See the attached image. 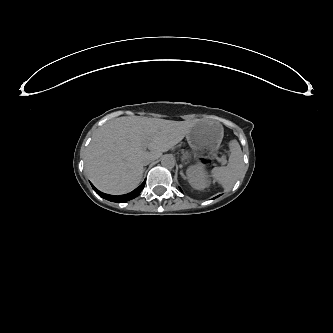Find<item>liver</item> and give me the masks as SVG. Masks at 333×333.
<instances>
[{"instance_id": "obj_1", "label": "liver", "mask_w": 333, "mask_h": 333, "mask_svg": "<svg viewBox=\"0 0 333 333\" xmlns=\"http://www.w3.org/2000/svg\"><path fill=\"white\" fill-rule=\"evenodd\" d=\"M137 137H96L88 147L85 168L102 192L124 194L135 189L143 177V160L157 159L179 143L183 134L162 133L161 123L146 119ZM149 151H146V149Z\"/></svg>"}]
</instances>
